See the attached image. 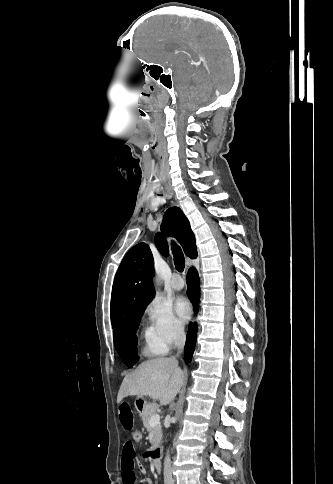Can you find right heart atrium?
Returning <instances> with one entry per match:
<instances>
[{
  "mask_svg": "<svg viewBox=\"0 0 333 484\" xmlns=\"http://www.w3.org/2000/svg\"><path fill=\"white\" fill-rule=\"evenodd\" d=\"M150 324L151 341L156 350L166 352L184 336V326L172 308L159 299H154L145 310Z\"/></svg>",
  "mask_w": 333,
  "mask_h": 484,
  "instance_id": "1",
  "label": "right heart atrium"
}]
</instances>
